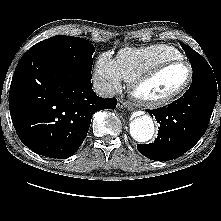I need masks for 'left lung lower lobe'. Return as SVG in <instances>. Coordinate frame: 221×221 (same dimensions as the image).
<instances>
[{"label": "left lung lower lobe", "mask_w": 221, "mask_h": 221, "mask_svg": "<svg viewBox=\"0 0 221 221\" xmlns=\"http://www.w3.org/2000/svg\"><path fill=\"white\" fill-rule=\"evenodd\" d=\"M221 102V76L210 75L193 81L184 95L148 113L160 123L153 143L137 145L138 151L155 161L178 158L191 149L204 135L216 101Z\"/></svg>", "instance_id": "left-lung-lower-lobe-1"}]
</instances>
